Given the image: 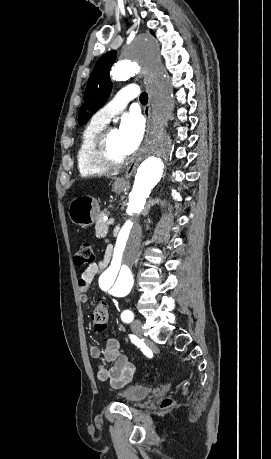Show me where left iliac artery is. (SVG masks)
I'll return each mask as SVG.
<instances>
[{
	"instance_id": "1",
	"label": "left iliac artery",
	"mask_w": 271,
	"mask_h": 459,
	"mask_svg": "<svg viewBox=\"0 0 271 459\" xmlns=\"http://www.w3.org/2000/svg\"><path fill=\"white\" fill-rule=\"evenodd\" d=\"M133 318H134V314H133V312L130 311V310H125V311H123L122 314H121V319H122V321L125 322V323H130V322H132Z\"/></svg>"
}]
</instances>
